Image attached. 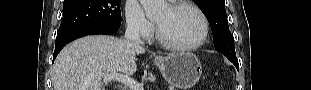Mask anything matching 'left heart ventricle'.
Listing matches in <instances>:
<instances>
[{
  "label": "left heart ventricle",
  "mask_w": 311,
  "mask_h": 90,
  "mask_svg": "<svg viewBox=\"0 0 311 90\" xmlns=\"http://www.w3.org/2000/svg\"><path fill=\"white\" fill-rule=\"evenodd\" d=\"M162 36L177 45H188L196 42L203 31L199 16L188 8L170 11L162 10L155 18Z\"/></svg>",
  "instance_id": "1"
}]
</instances>
